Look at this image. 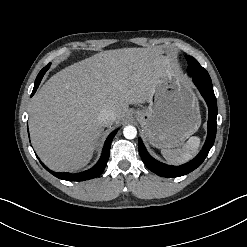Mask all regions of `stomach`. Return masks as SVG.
I'll use <instances>...</instances> for the list:
<instances>
[{
	"instance_id": "obj_1",
	"label": "stomach",
	"mask_w": 247,
	"mask_h": 247,
	"mask_svg": "<svg viewBox=\"0 0 247 247\" xmlns=\"http://www.w3.org/2000/svg\"><path fill=\"white\" fill-rule=\"evenodd\" d=\"M160 55L166 57L163 52ZM147 102L148 106L135 111L134 116L154 147L180 146L198 130V98L190 82L171 67L158 79Z\"/></svg>"
}]
</instances>
